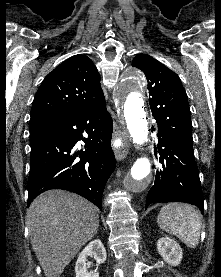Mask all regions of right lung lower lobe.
<instances>
[{
	"label": "right lung lower lobe",
	"instance_id": "right-lung-lower-lobe-1",
	"mask_svg": "<svg viewBox=\"0 0 221 277\" xmlns=\"http://www.w3.org/2000/svg\"><path fill=\"white\" fill-rule=\"evenodd\" d=\"M30 126L42 131L32 141L28 206L40 193L63 189L77 193L102 209V194L116 161L111 149L113 122L103 102L71 114L40 116ZM86 132L88 138H83ZM84 151H77L78 141Z\"/></svg>",
	"mask_w": 221,
	"mask_h": 277
}]
</instances>
